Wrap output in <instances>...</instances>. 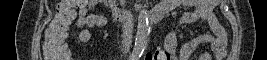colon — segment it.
Here are the masks:
<instances>
[{"label": "colon", "instance_id": "colon-1", "mask_svg": "<svg viewBox=\"0 0 267 60\" xmlns=\"http://www.w3.org/2000/svg\"><path fill=\"white\" fill-rule=\"evenodd\" d=\"M85 0H63L59 3L51 27L45 33L43 54L47 60H70L71 53L65 45L69 27L75 16L76 6H83ZM79 28L83 21H76Z\"/></svg>", "mask_w": 267, "mask_h": 60}]
</instances>
